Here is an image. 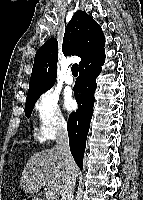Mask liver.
<instances>
[{
  "mask_svg": "<svg viewBox=\"0 0 143 200\" xmlns=\"http://www.w3.org/2000/svg\"><path fill=\"white\" fill-rule=\"evenodd\" d=\"M76 172V166L74 163ZM67 175L64 157L56 148L34 153L22 172L20 186L25 193H38L42 186L59 200Z\"/></svg>",
  "mask_w": 143,
  "mask_h": 200,
  "instance_id": "1",
  "label": "liver"
}]
</instances>
